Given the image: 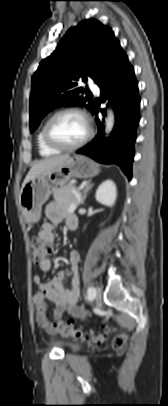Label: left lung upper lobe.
I'll list each match as a JSON object with an SVG mask.
<instances>
[{
    "label": "left lung upper lobe",
    "instance_id": "1",
    "mask_svg": "<svg viewBox=\"0 0 168 406\" xmlns=\"http://www.w3.org/2000/svg\"><path fill=\"white\" fill-rule=\"evenodd\" d=\"M122 51L110 27L95 19L70 28L51 56L42 60L32 77L30 129L59 106H84L91 112L95 103L83 97L88 89L78 81L92 78L98 84L115 57Z\"/></svg>",
    "mask_w": 168,
    "mask_h": 406
}]
</instances>
